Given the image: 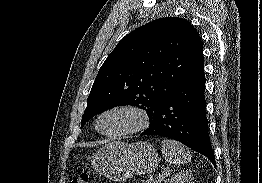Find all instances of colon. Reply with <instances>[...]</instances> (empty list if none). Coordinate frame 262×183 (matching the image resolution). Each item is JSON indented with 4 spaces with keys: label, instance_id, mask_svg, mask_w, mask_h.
<instances>
[{
    "label": "colon",
    "instance_id": "1",
    "mask_svg": "<svg viewBox=\"0 0 262 183\" xmlns=\"http://www.w3.org/2000/svg\"><path fill=\"white\" fill-rule=\"evenodd\" d=\"M89 175L87 173H81L74 178L72 183H88Z\"/></svg>",
    "mask_w": 262,
    "mask_h": 183
}]
</instances>
